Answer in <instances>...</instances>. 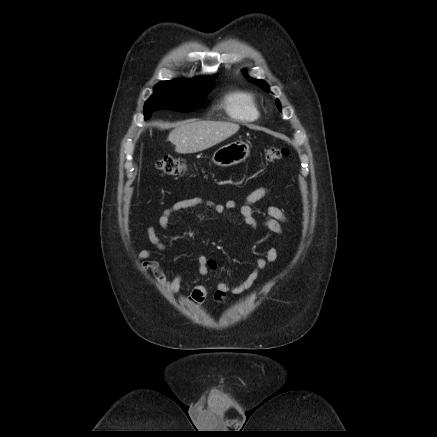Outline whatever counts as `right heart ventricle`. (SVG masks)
Here are the masks:
<instances>
[{
    "label": "right heart ventricle",
    "mask_w": 437,
    "mask_h": 437,
    "mask_svg": "<svg viewBox=\"0 0 437 437\" xmlns=\"http://www.w3.org/2000/svg\"><path fill=\"white\" fill-rule=\"evenodd\" d=\"M227 114L240 122H254L260 112L255 97L245 91H234L227 94L223 100Z\"/></svg>",
    "instance_id": "right-heart-ventricle-1"
}]
</instances>
